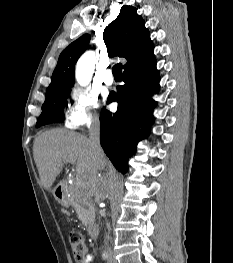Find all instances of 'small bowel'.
Returning a JSON list of instances; mask_svg holds the SVG:
<instances>
[{
  "label": "small bowel",
  "mask_w": 233,
  "mask_h": 263,
  "mask_svg": "<svg viewBox=\"0 0 233 263\" xmlns=\"http://www.w3.org/2000/svg\"><path fill=\"white\" fill-rule=\"evenodd\" d=\"M93 262V256L91 254H87L81 261L78 263H92Z\"/></svg>",
  "instance_id": "obj_1"
}]
</instances>
